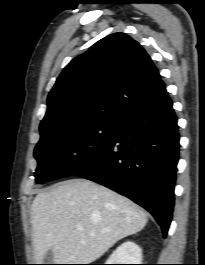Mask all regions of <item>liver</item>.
I'll return each mask as SVG.
<instances>
[{
	"label": "liver",
	"mask_w": 205,
	"mask_h": 265,
	"mask_svg": "<svg viewBox=\"0 0 205 265\" xmlns=\"http://www.w3.org/2000/svg\"><path fill=\"white\" fill-rule=\"evenodd\" d=\"M31 221L37 264L48 250L55 264H90L117 241L141 231L147 214L104 186L72 179L37 194Z\"/></svg>",
	"instance_id": "1"
}]
</instances>
